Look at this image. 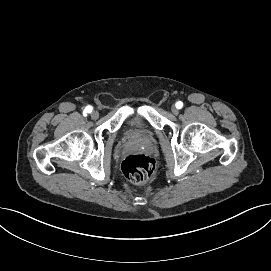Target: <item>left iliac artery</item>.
<instances>
[{
  "mask_svg": "<svg viewBox=\"0 0 271 271\" xmlns=\"http://www.w3.org/2000/svg\"><path fill=\"white\" fill-rule=\"evenodd\" d=\"M176 107H177L178 109H181V108L183 107V103H182L181 101H178V102L176 103Z\"/></svg>",
  "mask_w": 271,
  "mask_h": 271,
  "instance_id": "obj_1",
  "label": "left iliac artery"
}]
</instances>
